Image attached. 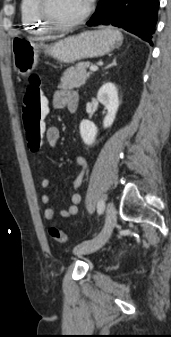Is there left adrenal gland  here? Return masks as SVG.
Returning a JSON list of instances; mask_svg holds the SVG:
<instances>
[{"mask_svg":"<svg viewBox=\"0 0 171 337\" xmlns=\"http://www.w3.org/2000/svg\"><path fill=\"white\" fill-rule=\"evenodd\" d=\"M116 64V60H114L110 65H108L106 68H109L111 67L112 65H115Z\"/></svg>","mask_w":171,"mask_h":337,"instance_id":"obj_1","label":"left adrenal gland"}]
</instances>
